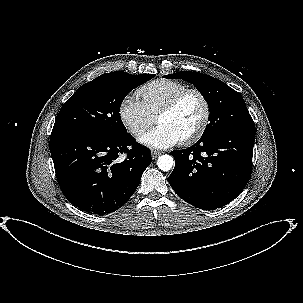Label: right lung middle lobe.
I'll list each match as a JSON object with an SVG mask.
<instances>
[{
	"label": "right lung middle lobe",
	"instance_id": "dd1d6c3e",
	"mask_svg": "<svg viewBox=\"0 0 303 303\" xmlns=\"http://www.w3.org/2000/svg\"><path fill=\"white\" fill-rule=\"evenodd\" d=\"M155 74L105 73L82 85L58 113L51 136L82 133L114 137L127 133L120 117L126 95Z\"/></svg>",
	"mask_w": 303,
	"mask_h": 303
}]
</instances>
